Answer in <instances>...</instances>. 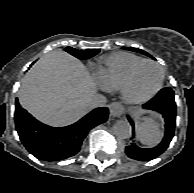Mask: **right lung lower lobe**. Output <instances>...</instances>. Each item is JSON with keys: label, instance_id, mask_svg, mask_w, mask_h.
Here are the masks:
<instances>
[{"label": "right lung lower lobe", "instance_id": "obj_1", "mask_svg": "<svg viewBox=\"0 0 194 193\" xmlns=\"http://www.w3.org/2000/svg\"><path fill=\"white\" fill-rule=\"evenodd\" d=\"M108 108L94 109L73 125L52 128L42 124L15 101V125L25 148L37 159L57 161L76 155L89 130L106 122Z\"/></svg>", "mask_w": 194, "mask_h": 193}]
</instances>
